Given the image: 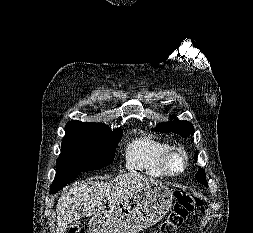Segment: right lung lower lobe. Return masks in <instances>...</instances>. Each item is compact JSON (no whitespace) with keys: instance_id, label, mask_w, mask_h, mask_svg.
Instances as JSON below:
<instances>
[{"instance_id":"98d812e1","label":"right lung lower lobe","mask_w":253,"mask_h":233,"mask_svg":"<svg viewBox=\"0 0 253 233\" xmlns=\"http://www.w3.org/2000/svg\"><path fill=\"white\" fill-rule=\"evenodd\" d=\"M81 172L79 173H75V174H71L65 178H62L60 180L57 181H53L51 188H50V194H55L56 192H58L62 187H64L65 185H67V183H69L73 178H75L76 176H78Z\"/></svg>"}]
</instances>
